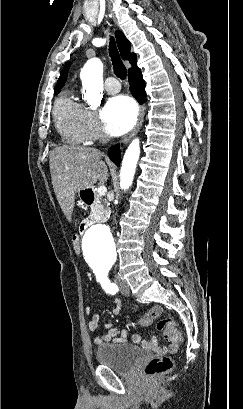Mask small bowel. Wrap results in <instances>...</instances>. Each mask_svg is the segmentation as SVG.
<instances>
[{
    "instance_id": "c3829d8e",
    "label": "small bowel",
    "mask_w": 243,
    "mask_h": 409,
    "mask_svg": "<svg viewBox=\"0 0 243 409\" xmlns=\"http://www.w3.org/2000/svg\"><path fill=\"white\" fill-rule=\"evenodd\" d=\"M85 312L88 315L92 314V308L89 306L86 307ZM113 313L116 315L119 314V300H115V307L113 309ZM100 320L101 317L98 313L92 315V318L89 322V330L91 332H95L99 329ZM166 339L170 341L168 345H159L155 337H152L148 341H142L140 336L137 334H133L131 336V340L134 343L141 344L143 347L152 350L158 354L175 353L179 348V340L175 335L166 337ZM127 342H128L127 331L125 329L118 330L113 326L112 323H106L104 325V333L94 338V343L97 345H101L103 343L120 344Z\"/></svg>"
}]
</instances>
